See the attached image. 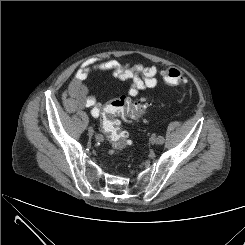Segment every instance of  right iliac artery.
<instances>
[{
    "label": "right iliac artery",
    "mask_w": 245,
    "mask_h": 245,
    "mask_svg": "<svg viewBox=\"0 0 245 245\" xmlns=\"http://www.w3.org/2000/svg\"><path fill=\"white\" fill-rule=\"evenodd\" d=\"M98 135H99V134H98ZM96 139H97V140H103V137H102V135H99V136L96 137Z\"/></svg>",
    "instance_id": "obj_1"
}]
</instances>
